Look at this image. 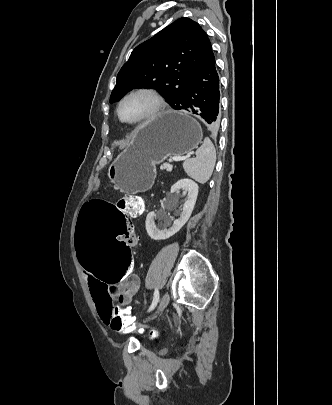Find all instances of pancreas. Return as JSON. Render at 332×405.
Returning <instances> with one entry per match:
<instances>
[{
  "label": "pancreas",
  "mask_w": 332,
  "mask_h": 405,
  "mask_svg": "<svg viewBox=\"0 0 332 405\" xmlns=\"http://www.w3.org/2000/svg\"><path fill=\"white\" fill-rule=\"evenodd\" d=\"M170 166H171V169H170ZM161 169H166L167 171H171L172 165L169 163H164L163 165H161Z\"/></svg>",
  "instance_id": "1"
}]
</instances>
